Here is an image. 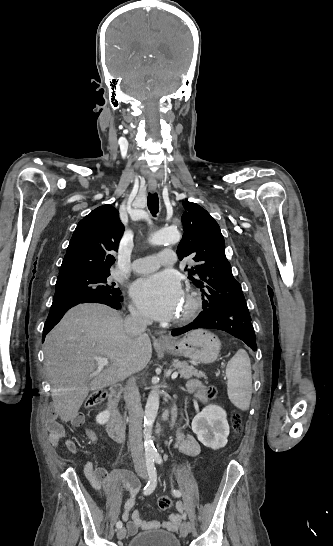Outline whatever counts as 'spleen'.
I'll return each instance as SVG.
<instances>
[{"label": "spleen", "mask_w": 333, "mask_h": 546, "mask_svg": "<svg viewBox=\"0 0 333 546\" xmlns=\"http://www.w3.org/2000/svg\"><path fill=\"white\" fill-rule=\"evenodd\" d=\"M226 376L229 399L240 410H248L252 395V375L250 359L244 349L238 350L228 362Z\"/></svg>", "instance_id": "3e777b00"}]
</instances>
